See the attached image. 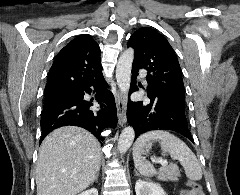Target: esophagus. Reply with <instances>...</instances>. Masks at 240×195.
<instances>
[{"label": "esophagus", "mask_w": 240, "mask_h": 195, "mask_svg": "<svg viewBox=\"0 0 240 195\" xmlns=\"http://www.w3.org/2000/svg\"><path fill=\"white\" fill-rule=\"evenodd\" d=\"M116 108L118 122L120 125H124L127 122V95L119 91L116 93Z\"/></svg>", "instance_id": "34e87169"}]
</instances>
